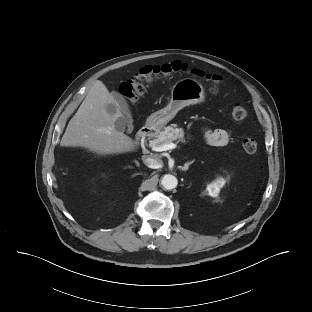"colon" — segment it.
<instances>
[{
	"label": "colon",
	"mask_w": 312,
	"mask_h": 312,
	"mask_svg": "<svg viewBox=\"0 0 312 312\" xmlns=\"http://www.w3.org/2000/svg\"><path fill=\"white\" fill-rule=\"evenodd\" d=\"M190 73L194 77L207 81L213 91H216L219 78L214 75L206 74L199 69L188 70L180 62H172L162 65H147L142 67L135 76L122 83L119 91L130 103L135 104L146 92L147 85L155 81L170 80L179 73ZM248 111L242 104H233L230 109V117L235 122H241L247 118ZM242 148L248 154H253L258 149L257 141L252 137H246L242 140Z\"/></svg>",
	"instance_id": "obj_1"
}]
</instances>
